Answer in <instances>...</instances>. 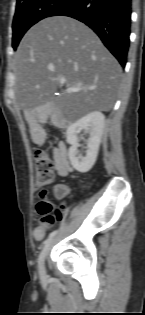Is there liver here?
Segmentation results:
<instances>
[{"instance_id": "6515ba94", "label": "liver", "mask_w": 145, "mask_h": 315, "mask_svg": "<svg viewBox=\"0 0 145 315\" xmlns=\"http://www.w3.org/2000/svg\"><path fill=\"white\" fill-rule=\"evenodd\" d=\"M14 99L28 121L44 110L54 122L70 125L92 111H109L122 69L99 37L66 16L48 17L29 29L17 49ZM78 92L55 91L60 80ZM92 88V89H88Z\"/></svg>"}]
</instances>
